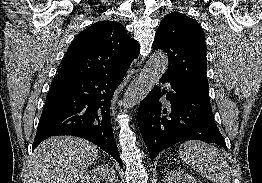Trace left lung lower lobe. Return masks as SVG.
<instances>
[{
  "instance_id": "0a47b994",
  "label": "left lung lower lobe",
  "mask_w": 262,
  "mask_h": 183,
  "mask_svg": "<svg viewBox=\"0 0 262 183\" xmlns=\"http://www.w3.org/2000/svg\"><path fill=\"white\" fill-rule=\"evenodd\" d=\"M160 82H170L172 91L155 86L138 109V126L152 162L159 152L184 140L216 143L227 150L213 118L209 93L194 89L168 73ZM165 93L170 108H164L159 101Z\"/></svg>"
}]
</instances>
